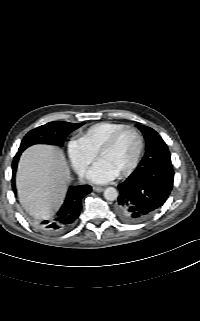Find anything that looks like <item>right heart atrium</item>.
<instances>
[{
  "label": "right heart atrium",
  "instance_id": "obj_1",
  "mask_svg": "<svg viewBox=\"0 0 200 321\" xmlns=\"http://www.w3.org/2000/svg\"><path fill=\"white\" fill-rule=\"evenodd\" d=\"M67 153L73 168L80 176L85 175L88 166L96 158V153L89 149L80 138H73L68 142Z\"/></svg>",
  "mask_w": 200,
  "mask_h": 321
}]
</instances>
